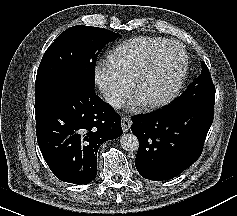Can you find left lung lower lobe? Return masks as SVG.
Listing matches in <instances>:
<instances>
[{"mask_svg":"<svg viewBox=\"0 0 237 216\" xmlns=\"http://www.w3.org/2000/svg\"><path fill=\"white\" fill-rule=\"evenodd\" d=\"M131 130L138 138L135 166L149 180H169L200 156L213 113L171 103L149 114L132 117Z\"/></svg>","mask_w":237,"mask_h":216,"instance_id":"left-lung-lower-lobe-1","label":"left lung lower lobe"}]
</instances>
